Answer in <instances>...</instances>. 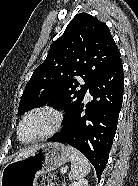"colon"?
Segmentation results:
<instances>
[{
	"label": "colon",
	"instance_id": "colon-1",
	"mask_svg": "<svg viewBox=\"0 0 138 186\" xmlns=\"http://www.w3.org/2000/svg\"><path fill=\"white\" fill-rule=\"evenodd\" d=\"M59 179V176H53L51 178L41 177L39 179V186H54Z\"/></svg>",
	"mask_w": 138,
	"mask_h": 186
}]
</instances>
